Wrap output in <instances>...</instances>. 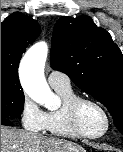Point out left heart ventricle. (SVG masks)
<instances>
[{"instance_id":"obj_1","label":"left heart ventricle","mask_w":123,"mask_h":152,"mask_svg":"<svg viewBox=\"0 0 123 152\" xmlns=\"http://www.w3.org/2000/svg\"><path fill=\"white\" fill-rule=\"evenodd\" d=\"M79 124L89 134L101 133L106 125L103 113L92 104H83L79 109Z\"/></svg>"}]
</instances>
